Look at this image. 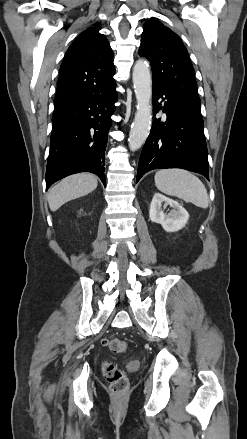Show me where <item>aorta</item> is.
<instances>
[{"instance_id": "aorta-1", "label": "aorta", "mask_w": 247, "mask_h": 439, "mask_svg": "<svg viewBox=\"0 0 247 439\" xmlns=\"http://www.w3.org/2000/svg\"><path fill=\"white\" fill-rule=\"evenodd\" d=\"M133 85L137 100V111L129 134L128 144L131 151L138 150L146 141L152 120V77L149 64L138 60L133 67Z\"/></svg>"}]
</instances>
